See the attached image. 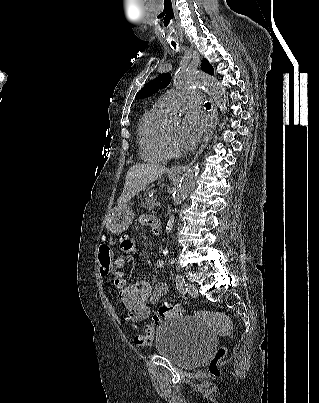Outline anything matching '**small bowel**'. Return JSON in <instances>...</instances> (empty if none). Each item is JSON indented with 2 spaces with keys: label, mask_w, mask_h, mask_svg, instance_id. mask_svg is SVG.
<instances>
[{
  "label": "small bowel",
  "mask_w": 319,
  "mask_h": 403,
  "mask_svg": "<svg viewBox=\"0 0 319 403\" xmlns=\"http://www.w3.org/2000/svg\"><path fill=\"white\" fill-rule=\"evenodd\" d=\"M156 218L151 216H142L140 218V223L143 225H148L152 228V230L157 233L158 230H155L153 225ZM115 243L117 245H121V258L127 260L130 258V253L136 252L139 256L140 252L135 249V244L131 240L129 235L117 236L115 238ZM163 261H157V267H162ZM99 274L105 275L106 277H111L113 275V254L110 247L103 243L100 246L99 250ZM137 282H145V281H137ZM119 288V287H118ZM168 290V286L164 282L157 283L154 287L151 288V291H148V301L149 308L148 313H127L126 319L136 327V323L146 319L151 312V306L156 304L166 293ZM120 294V290H119Z\"/></svg>",
  "instance_id": "small-bowel-1"
}]
</instances>
